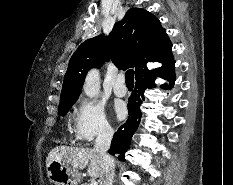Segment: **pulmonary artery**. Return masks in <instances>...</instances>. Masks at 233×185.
I'll use <instances>...</instances> for the list:
<instances>
[{"label":"pulmonary artery","instance_id":"obj_1","mask_svg":"<svg viewBox=\"0 0 233 185\" xmlns=\"http://www.w3.org/2000/svg\"><path fill=\"white\" fill-rule=\"evenodd\" d=\"M114 92L117 96H124L127 93V87L125 85V77L123 74H119L116 78L114 85Z\"/></svg>","mask_w":233,"mask_h":185}]
</instances>
